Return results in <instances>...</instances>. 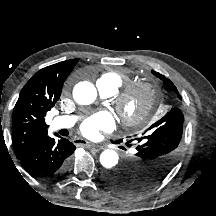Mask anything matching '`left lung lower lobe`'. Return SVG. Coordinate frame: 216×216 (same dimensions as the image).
<instances>
[{
	"instance_id": "0a47b994",
	"label": "left lung lower lobe",
	"mask_w": 216,
	"mask_h": 216,
	"mask_svg": "<svg viewBox=\"0 0 216 216\" xmlns=\"http://www.w3.org/2000/svg\"><path fill=\"white\" fill-rule=\"evenodd\" d=\"M115 143H117V141H115ZM125 166V162L122 164V166H121V170H119V172L117 171V172H108L105 176H104V178H103V180H104V182L108 185V186H110L109 184H108V180H110V178H112L114 175H119V174H122L123 173V171H124V169L122 168V167H124ZM111 187V186H110ZM112 188V187H111ZM113 189V188H112ZM117 192V191H116ZM119 193V192H118Z\"/></svg>"
}]
</instances>
